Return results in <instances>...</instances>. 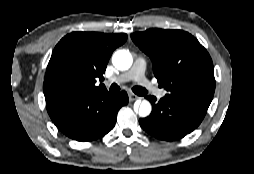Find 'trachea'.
Returning a JSON list of instances; mask_svg holds the SVG:
<instances>
[{"label": "trachea", "mask_w": 254, "mask_h": 174, "mask_svg": "<svg viewBox=\"0 0 254 174\" xmlns=\"http://www.w3.org/2000/svg\"><path fill=\"white\" fill-rule=\"evenodd\" d=\"M110 93L111 94H114V93H117V92H119L120 91V87L117 85V84H112L111 86H110ZM132 91L135 93V94H137V95H139V96H143V95H145L146 93H147V91H146V89L145 88H142V87H139V86H135V87H133L132 88Z\"/></svg>", "instance_id": "trachea-1"}]
</instances>
